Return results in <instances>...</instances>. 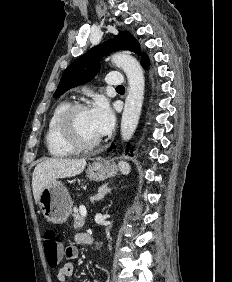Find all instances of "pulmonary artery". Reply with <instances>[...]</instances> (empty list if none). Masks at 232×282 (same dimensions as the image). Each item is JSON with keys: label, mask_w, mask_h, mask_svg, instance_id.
<instances>
[{"label": "pulmonary artery", "mask_w": 232, "mask_h": 282, "mask_svg": "<svg viewBox=\"0 0 232 282\" xmlns=\"http://www.w3.org/2000/svg\"><path fill=\"white\" fill-rule=\"evenodd\" d=\"M106 83L111 86H120L123 84V77L119 72H110L106 76Z\"/></svg>", "instance_id": "e3ab8cb5"}]
</instances>
